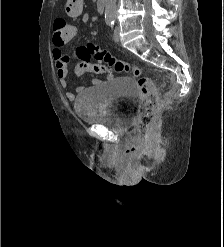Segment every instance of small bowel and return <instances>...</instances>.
<instances>
[{
	"mask_svg": "<svg viewBox=\"0 0 224 247\" xmlns=\"http://www.w3.org/2000/svg\"><path fill=\"white\" fill-rule=\"evenodd\" d=\"M66 11L72 17H81V22L83 24L90 20L89 14H83V2L82 0H67ZM53 44L55 48L53 49V58L56 64L57 76L60 81V85L63 88H67L70 85V78L68 77L67 63L69 61V56L62 51V47L65 42H61L57 39H53ZM81 69H77V74L81 73ZM66 98L69 101L75 100V95L71 92L66 93Z\"/></svg>",
	"mask_w": 224,
	"mask_h": 247,
	"instance_id": "obj_1",
	"label": "small bowel"
}]
</instances>
